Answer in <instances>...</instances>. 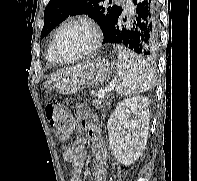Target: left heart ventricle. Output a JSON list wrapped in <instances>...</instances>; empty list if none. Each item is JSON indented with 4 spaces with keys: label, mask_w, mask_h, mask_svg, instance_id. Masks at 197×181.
<instances>
[{
    "label": "left heart ventricle",
    "mask_w": 197,
    "mask_h": 181,
    "mask_svg": "<svg viewBox=\"0 0 197 181\" xmlns=\"http://www.w3.org/2000/svg\"><path fill=\"white\" fill-rule=\"evenodd\" d=\"M92 39V33L86 26L73 25L66 28L57 43L59 57L69 59L84 52L90 47Z\"/></svg>",
    "instance_id": "1"
}]
</instances>
